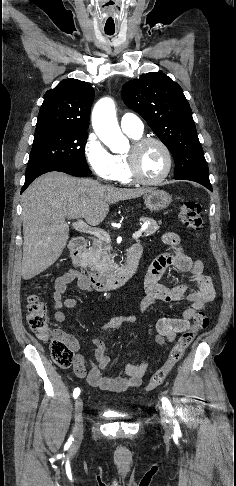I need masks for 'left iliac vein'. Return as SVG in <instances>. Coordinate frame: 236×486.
Segmentation results:
<instances>
[{
    "label": "left iliac vein",
    "mask_w": 236,
    "mask_h": 486,
    "mask_svg": "<svg viewBox=\"0 0 236 486\" xmlns=\"http://www.w3.org/2000/svg\"><path fill=\"white\" fill-rule=\"evenodd\" d=\"M160 412L162 416V425L167 433H170L173 429V418L171 413L165 408L160 407Z\"/></svg>",
    "instance_id": "obj_1"
}]
</instances>
